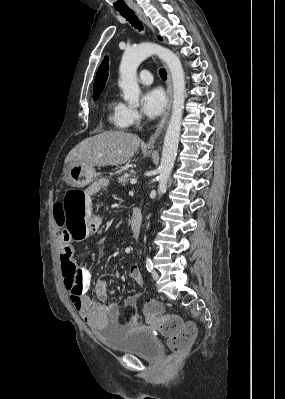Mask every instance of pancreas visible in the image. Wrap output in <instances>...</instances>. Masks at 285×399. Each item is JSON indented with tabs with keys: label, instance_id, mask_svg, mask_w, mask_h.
<instances>
[{
	"label": "pancreas",
	"instance_id": "1",
	"mask_svg": "<svg viewBox=\"0 0 285 399\" xmlns=\"http://www.w3.org/2000/svg\"><path fill=\"white\" fill-rule=\"evenodd\" d=\"M129 177H130V174L124 173L123 175H121V177H119L118 181L120 183H122L123 185H126L128 183Z\"/></svg>",
	"mask_w": 285,
	"mask_h": 399
}]
</instances>
